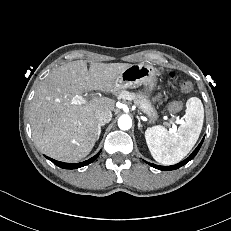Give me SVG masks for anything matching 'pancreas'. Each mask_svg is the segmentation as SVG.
<instances>
[{"instance_id": "cf45deb5", "label": "pancreas", "mask_w": 231, "mask_h": 231, "mask_svg": "<svg viewBox=\"0 0 231 231\" xmlns=\"http://www.w3.org/2000/svg\"><path fill=\"white\" fill-rule=\"evenodd\" d=\"M117 91H118L117 94H118L119 99H123V100H125V99L131 100L132 99V96H133L132 93H130V92L126 91V90H121V89H119Z\"/></svg>"}]
</instances>
